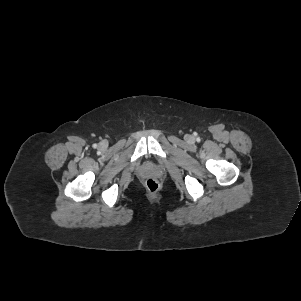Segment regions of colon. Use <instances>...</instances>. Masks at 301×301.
<instances>
[{"label":"colon","instance_id":"1","mask_svg":"<svg viewBox=\"0 0 301 301\" xmlns=\"http://www.w3.org/2000/svg\"><path fill=\"white\" fill-rule=\"evenodd\" d=\"M146 188L151 193H156L160 189V183L156 179H148L146 181Z\"/></svg>","mask_w":301,"mask_h":301}]
</instances>
